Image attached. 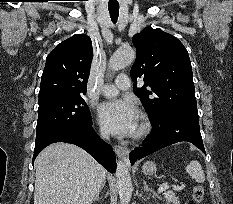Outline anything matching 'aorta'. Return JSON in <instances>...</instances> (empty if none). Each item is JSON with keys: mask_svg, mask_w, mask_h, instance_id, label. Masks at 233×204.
Segmentation results:
<instances>
[{"mask_svg": "<svg viewBox=\"0 0 233 204\" xmlns=\"http://www.w3.org/2000/svg\"><path fill=\"white\" fill-rule=\"evenodd\" d=\"M135 51L131 47H121L115 51L109 61L112 70H120L130 65L135 59ZM117 187L121 204H129L132 197V182L125 160L117 161Z\"/></svg>", "mask_w": 233, "mask_h": 204, "instance_id": "1", "label": "aorta"}]
</instances>
